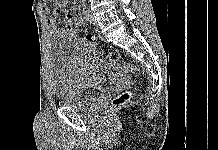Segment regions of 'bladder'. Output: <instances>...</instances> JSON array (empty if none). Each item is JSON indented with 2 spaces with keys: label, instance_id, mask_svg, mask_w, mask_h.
Instances as JSON below:
<instances>
[{
  "label": "bladder",
  "instance_id": "bladder-1",
  "mask_svg": "<svg viewBox=\"0 0 218 150\" xmlns=\"http://www.w3.org/2000/svg\"><path fill=\"white\" fill-rule=\"evenodd\" d=\"M57 67L56 100L59 105L85 108L89 105L95 83L108 65L91 60L84 43L79 40L57 39L53 43Z\"/></svg>",
  "mask_w": 218,
  "mask_h": 150
}]
</instances>
